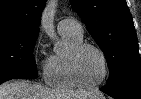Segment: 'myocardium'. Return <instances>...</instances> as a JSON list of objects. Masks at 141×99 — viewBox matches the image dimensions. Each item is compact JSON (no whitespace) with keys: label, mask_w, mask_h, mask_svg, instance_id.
Masks as SVG:
<instances>
[{"label":"myocardium","mask_w":141,"mask_h":99,"mask_svg":"<svg viewBox=\"0 0 141 99\" xmlns=\"http://www.w3.org/2000/svg\"><path fill=\"white\" fill-rule=\"evenodd\" d=\"M88 48L94 49L95 51H97L101 55V57L103 59V63H104V74H103L102 78L96 83L85 82L82 79V77L80 75V71H79V58H80L82 52ZM70 68H71L72 76H73L74 80L76 81V83L80 87L89 88V89H93V88H97V87L101 86L108 78L109 70H110L109 60H108V57H107L106 53L104 52V50L101 47H99L98 45L93 44V43H89V42H81L76 47H74V49L71 51V53H70Z\"/></svg>","instance_id":"myocardium-1"}]
</instances>
